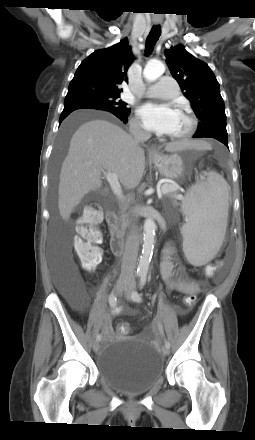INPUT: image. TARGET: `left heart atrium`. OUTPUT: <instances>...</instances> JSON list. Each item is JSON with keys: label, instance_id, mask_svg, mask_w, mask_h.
I'll list each match as a JSON object with an SVG mask.
<instances>
[{"label": "left heart atrium", "instance_id": "obj_1", "mask_svg": "<svg viewBox=\"0 0 255 440\" xmlns=\"http://www.w3.org/2000/svg\"><path fill=\"white\" fill-rule=\"evenodd\" d=\"M138 115L146 129L158 134H171L178 111L167 104L146 103L139 108Z\"/></svg>", "mask_w": 255, "mask_h": 440}]
</instances>
